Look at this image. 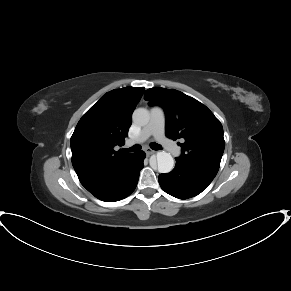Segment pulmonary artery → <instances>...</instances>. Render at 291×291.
Masks as SVG:
<instances>
[{
    "label": "pulmonary artery",
    "instance_id": "e3ab8cb5",
    "mask_svg": "<svg viewBox=\"0 0 291 291\" xmlns=\"http://www.w3.org/2000/svg\"><path fill=\"white\" fill-rule=\"evenodd\" d=\"M166 116L162 107L153 106L150 108V119L142 128L137 137L129 140L126 145H140L148 138L154 137L159 143L166 146L173 155H178L179 147L165 136Z\"/></svg>",
    "mask_w": 291,
    "mask_h": 291
}]
</instances>
